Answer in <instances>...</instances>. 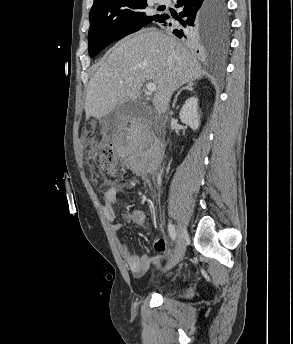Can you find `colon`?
<instances>
[{
	"mask_svg": "<svg viewBox=\"0 0 293 344\" xmlns=\"http://www.w3.org/2000/svg\"><path fill=\"white\" fill-rule=\"evenodd\" d=\"M88 137V135H86ZM99 166L100 169L113 177H117L120 174V165L115 157L113 147L111 144H103L99 151ZM133 219H139L141 216L138 213H133L129 216Z\"/></svg>",
	"mask_w": 293,
	"mask_h": 344,
	"instance_id": "5ec220e1",
	"label": "colon"
}]
</instances>
